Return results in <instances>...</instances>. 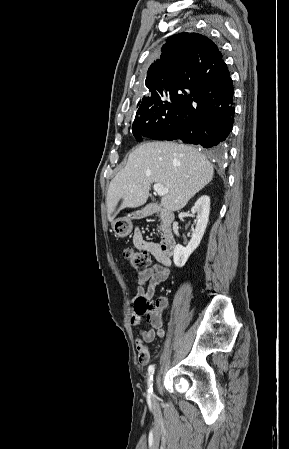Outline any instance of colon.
Returning <instances> with one entry per match:
<instances>
[{
    "mask_svg": "<svg viewBox=\"0 0 289 449\" xmlns=\"http://www.w3.org/2000/svg\"><path fill=\"white\" fill-rule=\"evenodd\" d=\"M123 257L127 263L139 272L146 271L151 267V257L146 251L135 250L133 248H126L123 250ZM160 301L153 303L145 298H140L137 301V308L140 312L154 313L159 309Z\"/></svg>",
    "mask_w": 289,
    "mask_h": 449,
    "instance_id": "5ec220e1",
    "label": "colon"
}]
</instances>
